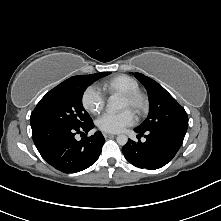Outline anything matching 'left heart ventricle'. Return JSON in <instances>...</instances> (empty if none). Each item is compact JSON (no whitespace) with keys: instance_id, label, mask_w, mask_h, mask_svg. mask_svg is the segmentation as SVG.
<instances>
[{"instance_id":"left-heart-ventricle-1","label":"left heart ventricle","mask_w":221,"mask_h":221,"mask_svg":"<svg viewBox=\"0 0 221 221\" xmlns=\"http://www.w3.org/2000/svg\"><path fill=\"white\" fill-rule=\"evenodd\" d=\"M121 109H131L130 104L123 98L121 99Z\"/></svg>"}]
</instances>
